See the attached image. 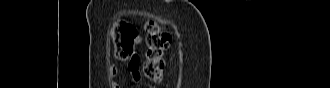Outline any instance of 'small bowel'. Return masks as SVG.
Segmentation results:
<instances>
[{"label": "small bowel", "instance_id": "obj_1", "mask_svg": "<svg viewBox=\"0 0 330 88\" xmlns=\"http://www.w3.org/2000/svg\"><path fill=\"white\" fill-rule=\"evenodd\" d=\"M141 42H142V38L139 35H136V37L134 39V45H136V46L140 45ZM134 61H135L136 66L133 65ZM129 70H130V73H131L132 80L135 83H138L141 79V74H140V70H139L138 58L136 56L132 60H130ZM119 73H120V68L118 66H112L109 70V78L113 79ZM112 87L113 88H120V85H119V83H117L115 81H112Z\"/></svg>", "mask_w": 330, "mask_h": 88}]
</instances>
